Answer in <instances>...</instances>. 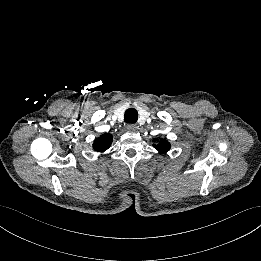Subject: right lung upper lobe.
I'll list each match as a JSON object with an SVG mask.
<instances>
[{
  "instance_id": "1",
  "label": "right lung upper lobe",
  "mask_w": 261,
  "mask_h": 261,
  "mask_svg": "<svg viewBox=\"0 0 261 261\" xmlns=\"http://www.w3.org/2000/svg\"><path fill=\"white\" fill-rule=\"evenodd\" d=\"M112 138L113 136L108 133H105L100 137L96 138L93 143L94 150L104 152L110 147L112 143Z\"/></svg>"
}]
</instances>
